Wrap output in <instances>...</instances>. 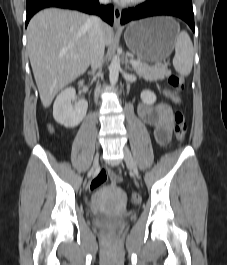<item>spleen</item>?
Returning a JSON list of instances; mask_svg holds the SVG:
<instances>
[{
	"label": "spleen",
	"instance_id": "obj_1",
	"mask_svg": "<svg viewBox=\"0 0 227 265\" xmlns=\"http://www.w3.org/2000/svg\"><path fill=\"white\" fill-rule=\"evenodd\" d=\"M194 49L192 41L186 31H181L175 41V56L173 66L182 76L190 74L193 66Z\"/></svg>",
	"mask_w": 227,
	"mask_h": 265
}]
</instances>
